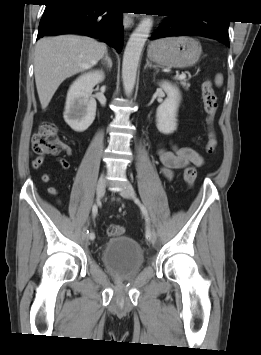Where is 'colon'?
<instances>
[{
  "mask_svg": "<svg viewBox=\"0 0 261 355\" xmlns=\"http://www.w3.org/2000/svg\"><path fill=\"white\" fill-rule=\"evenodd\" d=\"M202 99L206 113V121L209 127L206 150L212 153L217 146V136L213 128L218 104L217 97L211 81H205L202 85ZM32 149L39 158L55 157L63 152L65 144L58 137L55 126L51 123H43L32 139ZM197 177L194 166H188L183 172V178L188 185H193ZM124 228L121 225H110L107 228L109 237L122 235Z\"/></svg>",
  "mask_w": 261,
  "mask_h": 355,
  "instance_id": "5ec220e1",
  "label": "colon"
}]
</instances>
